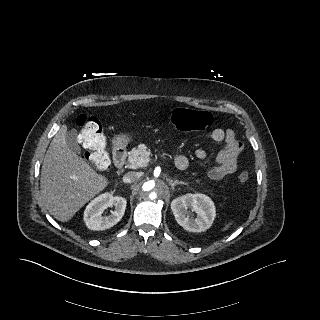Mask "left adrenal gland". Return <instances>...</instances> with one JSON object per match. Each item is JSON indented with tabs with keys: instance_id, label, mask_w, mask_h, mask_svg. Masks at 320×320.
I'll return each mask as SVG.
<instances>
[{
	"instance_id": "obj_1",
	"label": "left adrenal gland",
	"mask_w": 320,
	"mask_h": 320,
	"mask_svg": "<svg viewBox=\"0 0 320 320\" xmlns=\"http://www.w3.org/2000/svg\"><path fill=\"white\" fill-rule=\"evenodd\" d=\"M169 184L171 185L172 188H174L176 185L181 184V185H188V183L179 181V180H169Z\"/></svg>"
}]
</instances>
